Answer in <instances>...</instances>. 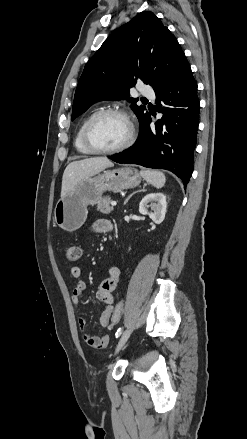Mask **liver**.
<instances>
[{
	"label": "liver",
	"instance_id": "6515ba94",
	"mask_svg": "<svg viewBox=\"0 0 247 439\" xmlns=\"http://www.w3.org/2000/svg\"><path fill=\"white\" fill-rule=\"evenodd\" d=\"M113 165V162L106 157H92L71 162L63 173L61 197L69 193L81 180L94 176Z\"/></svg>",
	"mask_w": 247,
	"mask_h": 439
}]
</instances>
